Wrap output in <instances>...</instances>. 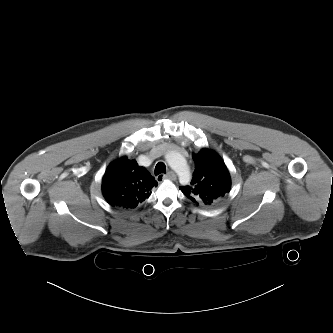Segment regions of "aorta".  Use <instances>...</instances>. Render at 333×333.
<instances>
[{"mask_svg":"<svg viewBox=\"0 0 333 333\" xmlns=\"http://www.w3.org/2000/svg\"><path fill=\"white\" fill-rule=\"evenodd\" d=\"M165 158L168 165L176 172L181 180L188 181L190 179L188 166L185 163L184 157L180 153L176 151H169Z\"/></svg>","mask_w":333,"mask_h":333,"instance_id":"762f6f07","label":"aorta"}]
</instances>
